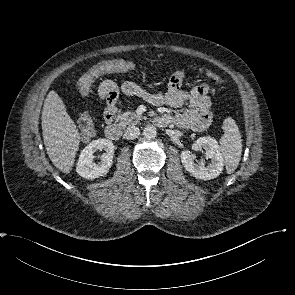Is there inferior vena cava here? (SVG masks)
<instances>
[{
	"instance_id": "1",
	"label": "inferior vena cava",
	"mask_w": 295,
	"mask_h": 295,
	"mask_svg": "<svg viewBox=\"0 0 295 295\" xmlns=\"http://www.w3.org/2000/svg\"><path fill=\"white\" fill-rule=\"evenodd\" d=\"M139 135L140 129L136 126H129L124 132V137L128 140L136 139Z\"/></svg>"
}]
</instances>
